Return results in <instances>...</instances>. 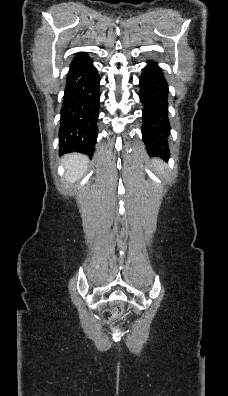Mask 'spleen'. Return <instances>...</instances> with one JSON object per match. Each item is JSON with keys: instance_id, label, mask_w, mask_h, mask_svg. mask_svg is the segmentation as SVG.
<instances>
[{"instance_id": "spleen-1", "label": "spleen", "mask_w": 228, "mask_h": 396, "mask_svg": "<svg viewBox=\"0 0 228 396\" xmlns=\"http://www.w3.org/2000/svg\"><path fill=\"white\" fill-rule=\"evenodd\" d=\"M155 163H156L157 167L159 168L160 172L164 173L163 163L159 160H156Z\"/></svg>"}]
</instances>
